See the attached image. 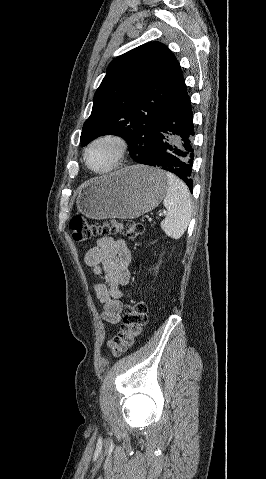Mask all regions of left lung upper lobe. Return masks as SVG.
I'll list each match as a JSON object with an SVG mask.
<instances>
[{
  "label": "left lung upper lobe",
  "mask_w": 266,
  "mask_h": 479,
  "mask_svg": "<svg viewBox=\"0 0 266 479\" xmlns=\"http://www.w3.org/2000/svg\"><path fill=\"white\" fill-rule=\"evenodd\" d=\"M184 83L180 65L160 42L143 44L115 58L107 68L85 121L81 142L112 134L123 137L131 157L145 163L159 121Z\"/></svg>",
  "instance_id": "1"
}]
</instances>
